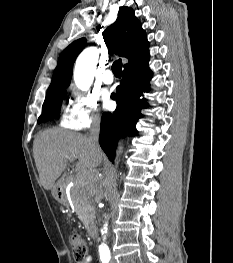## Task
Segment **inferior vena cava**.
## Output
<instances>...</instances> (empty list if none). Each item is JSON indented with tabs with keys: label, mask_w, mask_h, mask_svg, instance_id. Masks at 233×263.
<instances>
[{
	"label": "inferior vena cava",
	"mask_w": 233,
	"mask_h": 263,
	"mask_svg": "<svg viewBox=\"0 0 233 263\" xmlns=\"http://www.w3.org/2000/svg\"><path fill=\"white\" fill-rule=\"evenodd\" d=\"M99 131H100V117L98 115H93L91 117V126H90V136L89 139L92 145L99 149L98 139H99ZM112 263H114L112 261Z\"/></svg>",
	"instance_id": "602c4592"
}]
</instances>
